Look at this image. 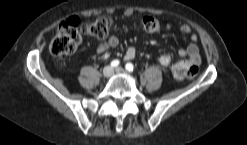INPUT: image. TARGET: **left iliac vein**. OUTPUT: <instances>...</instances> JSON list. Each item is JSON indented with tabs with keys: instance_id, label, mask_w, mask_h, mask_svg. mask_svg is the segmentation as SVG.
Listing matches in <instances>:
<instances>
[{
	"instance_id": "left-iliac-vein-1",
	"label": "left iliac vein",
	"mask_w": 247,
	"mask_h": 145,
	"mask_svg": "<svg viewBox=\"0 0 247 145\" xmlns=\"http://www.w3.org/2000/svg\"><path fill=\"white\" fill-rule=\"evenodd\" d=\"M115 72H116V73H120V72H122V69H121L120 67H119V68H116V69H115Z\"/></svg>"
}]
</instances>
